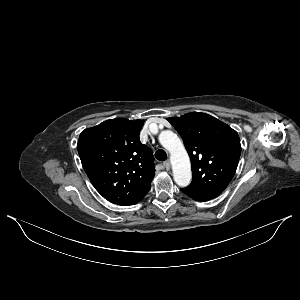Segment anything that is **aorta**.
I'll return each instance as SVG.
<instances>
[{
  "mask_svg": "<svg viewBox=\"0 0 300 300\" xmlns=\"http://www.w3.org/2000/svg\"><path fill=\"white\" fill-rule=\"evenodd\" d=\"M159 142L171 154L175 183L180 187H187L191 182L192 172L190 159L182 141L175 133L166 130L160 133Z\"/></svg>",
  "mask_w": 300,
  "mask_h": 300,
  "instance_id": "1",
  "label": "aorta"
}]
</instances>
